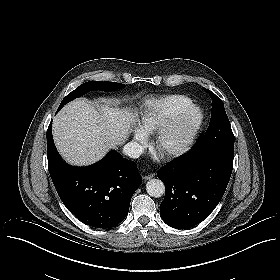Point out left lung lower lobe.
<instances>
[{
    "label": "left lung lower lobe",
    "instance_id": "1",
    "mask_svg": "<svg viewBox=\"0 0 280 280\" xmlns=\"http://www.w3.org/2000/svg\"><path fill=\"white\" fill-rule=\"evenodd\" d=\"M233 158L220 151L191 152L162 167L157 176L166 188L160 205L163 220L186 229L206 219L225 193Z\"/></svg>",
    "mask_w": 280,
    "mask_h": 280
}]
</instances>
